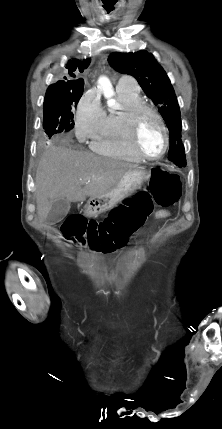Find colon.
<instances>
[{
	"mask_svg": "<svg viewBox=\"0 0 222 429\" xmlns=\"http://www.w3.org/2000/svg\"><path fill=\"white\" fill-rule=\"evenodd\" d=\"M181 197L177 174L152 168L148 190L141 191L114 208L103 221L87 220L80 215L68 217L62 226L63 233L74 241L87 243L92 249L110 252L124 246L129 237L144 223L153 210L175 205Z\"/></svg>",
	"mask_w": 222,
	"mask_h": 429,
	"instance_id": "1",
	"label": "colon"
}]
</instances>
